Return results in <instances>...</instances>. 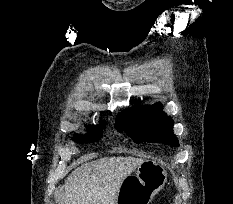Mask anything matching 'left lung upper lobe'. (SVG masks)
I'll use <instances>...</instances> for the list:
<instances>
[{
  "label": "left lung upper lobe",
  "instance_id": "5c2ea615",
  "mask_svg": "<svg viewBox=\"0 0 233 204\" xmlns=\"http://www.w3.org/2000/svg\"><path fill=\"white\" fill-rule=\"evenodd\" d=\"M116 129L126 130L137 143L162 142L178 147L179 142L173 133V121L162 112L160 103L144 107L137 105L117 116Z\"/></svg>",
  "mask_w": 233,
  "mask_h": 204
}]
</instances>
